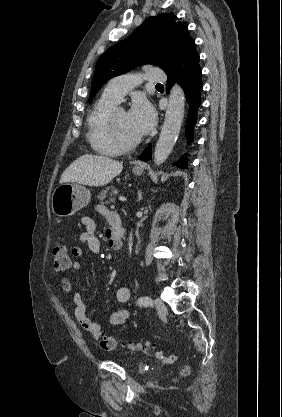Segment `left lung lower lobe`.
Segmentation results:
<instances>
[{"label":"left lung lower lobe","mask_w":282,"mask_h":417,"mask_svg":"<svg viewBox=\"0 0 282 417\" xmlns=\"http://www.w3.org/2000/svg\"><path fill=\"white\" fill-rule=\"evenodd\" d=\"M165 73L168 76L166 90H169L173 82L177 81L185 91L189 104L188 121L186 124V136L188 141L193 140V126L197 120V110L201 104L200 93L202 90L201 68L199 66V55L195 42L192 40L174 58L171 66ZM151 158V145L148 146L138 159L148 161ZM187 159L176 163L177 167L186 169Z\"/></svg>","instance_id":"0a47b994"}]
</instances>
